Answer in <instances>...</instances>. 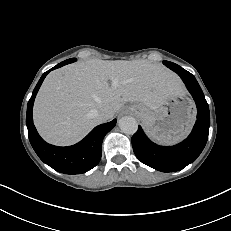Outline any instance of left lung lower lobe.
<instances>
[{
  "label": "left lung lower lobe",
  "mask_w": 231,
  "mask_h": 231,
  "mask_svg": "<svg viewBox=\"0 0 231 231\" xmlns=\"http://www.w3.org/2000/svg\"><path fill=\"white\" fill-rule=\"evenodd\" d=\"M172 70L182 78L197 106V120L192 132L183 142L171 147L159 146L150 141L140 126L132 136L136 157L162 172L179 171L195 161L206 145L210 126L209 107L195 77L181 67Z\"/></svg>",
  "instance_id": "0a47b994"
}]
</instances>
